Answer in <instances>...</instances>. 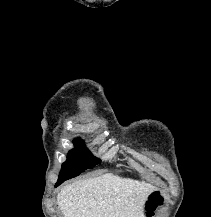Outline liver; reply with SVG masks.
Masks as SVG:
<instances>
[{
  "mask_svg": "<svg viewBox=\"0 0 211 217\" xmlns=\"http://www.w3.org/2000/svg\"><path fill=\"white\" fill-rule=\"evenodd\" d=\"M154 186L118 175L76 181L57 196L64 217H144V208Z\"/></svg>",
  "mask_w": 211,
  "mask_h": 217,
  "instance_id": "6515ba94",
  "label": "liver"
}]
</instances>
